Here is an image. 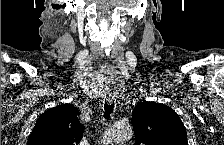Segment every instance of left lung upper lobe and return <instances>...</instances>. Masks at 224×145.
<instances>
[{
	"label": "left lung upper lobe",
	"instance_id": "5c2ea615",
	"mask_svg": "<svg viewBox=\"0 0 224 145\" xmlns=\"http://www.w3.org/2000/svg\"><path fill=\"white\" fill-rule=\"evenodd\" d=\"M137 145H188L184 124L164 104L140 102L132 112Z\"/></svg>",
	"mask_w": 224,
	"mask_h": 145
}]
</instances>
